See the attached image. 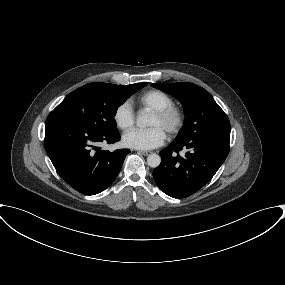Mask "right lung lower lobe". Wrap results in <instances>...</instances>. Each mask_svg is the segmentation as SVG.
<instances>
[{"instance_id": "1", "label": "right lung lower lobe", "mask_w": 285, "mask_h": 285, "mask_svg": "<svg viewBox=\"0 0 285 285\" xmlns=\"http://www.w3.org/2000/svg\"><path fill=\"white\" fill-rule=\"evenodd\" d=\"M120 140L118 131L96 132L64 115L50 113L45 124V150L61 178L78 192L95 195L116 178L129 149L97 147Z\"/></svg>"}]
</instances>
